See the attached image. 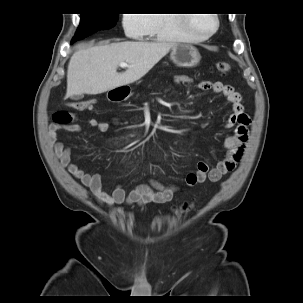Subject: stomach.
Masks as SVG:
<instances>
[{"instance_id": "obj_1", "label": "stomach", "mask_w": 303, "mask_h": 303, "mask_svg": "<svg viewBox=\"0 0 303 303\" xmlns=\"http://www.w3.org/2000/svg\"><path fill=\"white\" fill-rule=\"evenodd\" d=\"M170 58L177 66L193 67L199 63L201 56L192 45L179 43L172 48Z\"/></svg>"}]
</instances>
